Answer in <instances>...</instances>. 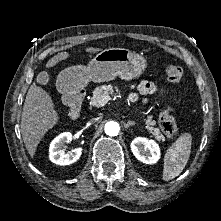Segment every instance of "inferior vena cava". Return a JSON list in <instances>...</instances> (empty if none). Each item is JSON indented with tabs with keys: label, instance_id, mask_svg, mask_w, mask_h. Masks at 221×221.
Returning a JSON list of instances; mask_svg holds the SVG:
<instances>
[{
	"label": "inferior vena cava",
	"instance_id": "602c4592",
	"mask_svg": "<svg viewBox=\"0 0 221 221\" xmlns=\"http://www.w3.org/2000/svg\"><path fill=\"white\" fill-rule=\"evenodd\" d=\"M89 122H90V123H93V122H94V119H91Z\"/></svg>",
	"mask_w": 221,
	"mask_h": 221
}]
</instances>
